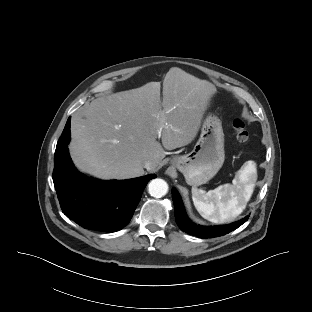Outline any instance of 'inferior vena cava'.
<instances>
[{
  "mask_svg": "<svg viewBox=\"0 0 312 312\" xmlns=\"http://www.w3.org/2000/svg\"><path fill=\"white\" fill-rule=\"evenodd\" d=\"M156 167L155 162L151 161V160H146L144 162V168H146L148 171L154 170Z\"/></svg>",
  "mask_w": 312,
  "mask_h": 312,
  "instance_id": "1",
  "label": "inferior vena cava"
}]
</instances>
